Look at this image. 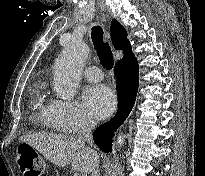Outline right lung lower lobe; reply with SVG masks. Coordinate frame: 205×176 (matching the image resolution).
Returning <instances> with one entry per match:
<instances>
[{
    "instance_id": "right-lung-lower-lobe-1",
    "label": "right lung lower lobe",
    "mask_w": 205,
    "mask_h": 176,
    "mask_svg": "<svg viewBox=\"0 0 205 176\" xmlns=\"http://www.w3.org/2000/svg\"><path fill=\"white\" fill-rule=\"evenodd\" d=\"M115 71L118 93L117 113L109 122L101 125L93 133L94 142L104 152L112 151V137L132 110L139 83V68L135 56L119 61L115 65Z\"/></svg>"
}]
</instances>
